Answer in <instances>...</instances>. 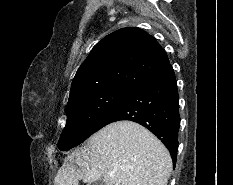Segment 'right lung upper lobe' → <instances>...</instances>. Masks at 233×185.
Here are the masks:
<instances>
[{"label":"right lung upper lobe","instance_id":"right-lung-upper-lobe-1","mask_svg":"<svg viewBox=\"0 0 233 185\" xmlns=\"http://www.w3.org/2000/svg\"><path fill=\"white\" fill-rule=\"evenodd\" d=\"M169 65L154 37L139 28H122L93 47L73 79L69 100L107 87L131 90Z\"/></svg>","mask_w":233,"mask_h":185}]
</instances>
